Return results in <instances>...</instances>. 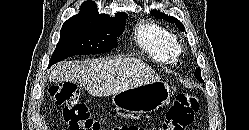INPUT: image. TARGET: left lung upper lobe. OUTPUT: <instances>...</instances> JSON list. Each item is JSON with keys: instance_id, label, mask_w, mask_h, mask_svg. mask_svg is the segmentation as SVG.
Here are the masks:
<instances>
[{"instance_id": "left-lung-upper-lobe-1", "label": "left lung upper lobe", "mask_w": 249, "mask_h": 130, "mask_svg": "<svg viewBox=\"0 0 249 130\" xmlns=\"http://www.w3.org/2000/svg\"><path fill=\"white\" fill-rule=\"evenodd\" d=\"M153 16L155 17H158V18H163L164 20L168 21V22H172V23H175L176 26L178 28H180L182 31H185V27L183 26V24L176 18L172 17V16H168L166 14H162L160 13L159 11H156V10H152L150 12ZM195 77L200 81V82H203L202 80V77H201V69L198 68L196 69L195 71Z\"/></svg>"}]
</instances>
